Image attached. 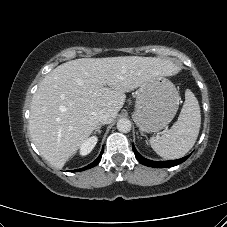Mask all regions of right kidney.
Instances as JSON below:
<instances>
[{"instance_id": "ca27d5eb", "label": "right kidney", "mask_w": 227, "mask_h": 227, "mask_svg": "<svg viewBox=\"0 0 227 227\" xmlns=\"http://www.w3.org/2000/svg\"><path fill=\"white\" fill-rule=\"evenodd\" d=\"M97 137L92 136L90 138H88L87 140H85L82 145L80 146V154L82 156H85L87 154H89L93 148L95 147V145L97 144Z\"/></svg>"}]
</instances>
